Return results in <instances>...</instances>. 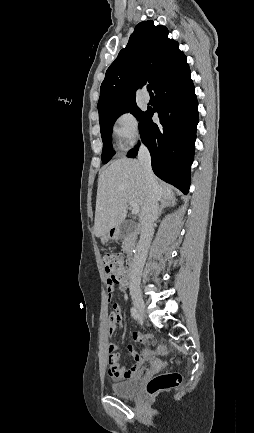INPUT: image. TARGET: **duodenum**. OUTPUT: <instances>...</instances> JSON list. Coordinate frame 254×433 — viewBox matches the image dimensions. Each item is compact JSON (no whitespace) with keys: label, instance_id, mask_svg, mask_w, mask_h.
<instances>
[{"label":"duodenum","instance_id":"1","mask_svg":"<svg viewBox=\"0 0 254 433\" xmlns=\"http://www.w3.org/2000/svg\"><path fill=\"white\" fill-rule=\"evenodd\" d=\"M113 234L115 237L118 235V229L117 228L113 230ZM127 264H128V268H129V273L131 275H133L135 272V260L132 256H129V258L127 259Z\"/></svg>","mask_w":254,"mask_h":433}]
</instances>
